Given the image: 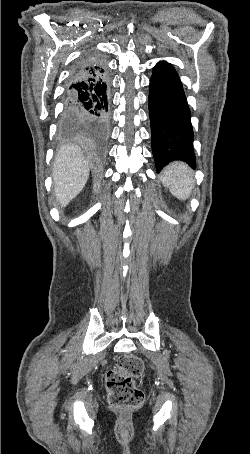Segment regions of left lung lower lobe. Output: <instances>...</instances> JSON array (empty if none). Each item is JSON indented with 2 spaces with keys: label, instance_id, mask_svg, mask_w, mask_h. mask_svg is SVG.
Masks as SVG:
<instances>
[{
  "label": "left lung lower lobe",
  "instance_id": "0a47b994",
  "mask_svg": "<svg viewBox=\"0 0 250 454\" xmlns=\"http://www.w3.org/2000/svg\"><path fill=\"white\" fill-rule=\"evenodd\" d=\"M148 106L157 172L176 160L195 169L191 113L180 78L170 63L161 61L153 68Z\"/></svg>",
  "mask_w": 250,
  "mask_h": 454
}]
</instances>
